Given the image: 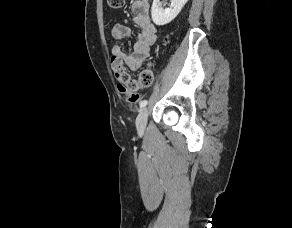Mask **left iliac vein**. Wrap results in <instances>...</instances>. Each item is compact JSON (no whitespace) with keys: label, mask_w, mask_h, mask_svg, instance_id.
<instances>
[{"label":"left iliac vein","mask_w":292,"mask_h":228,"mask_svg":"<svg viewBox=\"0 0 292 228\" xmlns=\"http://www.w3.org/2000/svg\"><path fill=\"white\" fill-rule=\"evenodd\" d=\"M148 120V109L142 108L136 118V127L139 132H143L146 128Z\"/></svg>","instance_id":"1"}]
</instances>
